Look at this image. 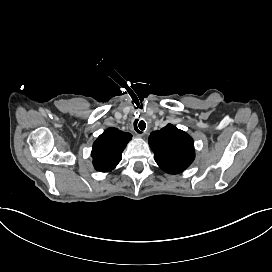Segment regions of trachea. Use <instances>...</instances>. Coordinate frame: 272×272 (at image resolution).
Masks as SVG:
<instances>
[{
    "label": "trachea",
    "instance_id": "3493384b",
    "mask_svg": "<svg viewBox=\"0 0 272 272\" xmlns=\"http://www.w3.org/2000/svg\"><path fill=\"white\" fill-rule=\"evenodd\" d=\"M137 122H138V120L135 122V125H136V127H137ZM145 123L143 122V125L142 126H139V129H136L139 133H141V130H144L145 129Z\"/></svg>",
    "mask_w": 272,
    "mask_h": 272
}]
</instances>
